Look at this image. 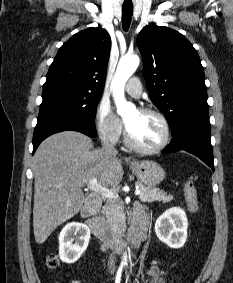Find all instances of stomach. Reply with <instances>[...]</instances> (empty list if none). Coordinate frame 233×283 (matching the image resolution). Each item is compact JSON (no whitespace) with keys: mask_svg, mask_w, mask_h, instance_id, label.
<instances>
[{"mask_svg":"<svg viewBox=\"0 0 233 283\" xmlns=\"http://www.w3.org/2000/svg\"><path fill=\"white\" fill-rule=\"evenodd\" d=\"M138 180L148 187L160 184L165 178V171L158 163L151 160L134 161L130 164Z\"/></svg>","mask_w":233,"mask_h":283,"instance_id":"obj_1","label":"stomach"}]
</instances>
